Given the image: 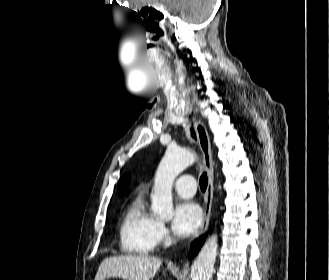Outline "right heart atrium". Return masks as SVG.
<instances>
[{
    "mask_svg": "<svg viewBox=\"0 0 329 280\" xmlns=\"http://www.w3.org/2000/svg\"><path fill=\"white\" fill-rule=\"evenodd\" d=\"M168 238V231L166 226L158 222L157 227H156V240L158 244L164 243Z\"/></svg>",
    "mask_w": 329,
    "mask_h": 280,
    "instance_id": "d8ad5b80",
    "label": "right heart atrium"
}]
</instances>
